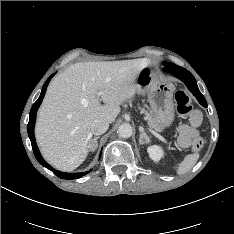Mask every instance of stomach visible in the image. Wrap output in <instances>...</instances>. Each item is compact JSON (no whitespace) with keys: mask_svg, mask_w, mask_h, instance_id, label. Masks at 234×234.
I'll use <instances>...</instances> for the list:
<instances>
[{"mask_svg":"<svg viewBox=\"0 0 234 234\" xmlns=\"http://www.w3.org/2000/svg\"><path fill=\"white\" fill-rule=\"evenodd\" d=\"M134 83L138 94L148 95L152 114L163 127H169L175 116L173 101L174 84L171 81L157 79L154 69L147 65L136 76Z\"/></svg>","mask_w":234,"mask_h":234,"instance_id":"0dacf381","label":"stomach"}]
</instances>
